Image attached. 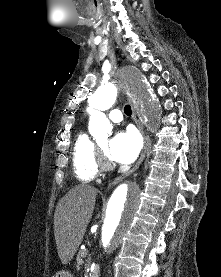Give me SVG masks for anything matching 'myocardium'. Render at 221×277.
<instances>
[{
    "instance_id": "myocardium-1",
    "label": "myocardium",
    "mask_w": 221,
    "mask_h": 277,
    "mask_svg": "<svg viewBox=\"0 0 221 277\" xmlns=\"http://www.w3.org/2000/svg\"><path fill=\"white\" fill-rule=\"evenodd\" d=\"M97 163L101 170H110L113 168V163L109 160L106 152L100 146H97Z\"/></svg>"
}]
</instances>
